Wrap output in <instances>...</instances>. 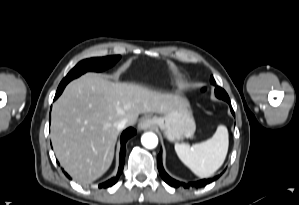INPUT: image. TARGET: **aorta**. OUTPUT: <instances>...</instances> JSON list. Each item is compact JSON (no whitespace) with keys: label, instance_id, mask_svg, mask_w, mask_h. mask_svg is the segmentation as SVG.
<instances>
[{"label":"aorta","instance_id":"aorta-1","mask_svg":"<svg viewBox=\"0 0 299 205\" xmlns=\"http://www.w3.org/2000/svg\"><path fill=\"white\" fill-rule=\"evenodd\" d=\"M142 145L147 149H153L158 145V137L152 132H147L141 137Z\"/></svg>","mask_w":299,"mask_h":205}]
</instances>
